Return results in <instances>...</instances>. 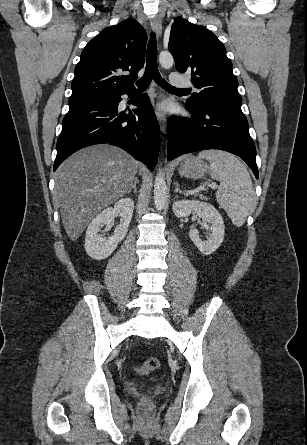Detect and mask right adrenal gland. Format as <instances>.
Segmentation results:
<instances>
[{
  "instance_id": "1",
  "label": "right adrenal gland",
  "mask_w": 307,
  "mask_h": 445,
  "mask_svg": "<svg viewBox=\"0 0 307 445\" xmlns=\"http://www.w3.org/2000/svg\"><path fill=\"white\" fill-rule=\"evenodd\" d=\"M137 182H139L137 176H135L134 180H133V184H131L129 190H127V194H129V192H131L132 188L134 190V192H137V188H136V184Z\"/></svg>"
}]
</instances>
